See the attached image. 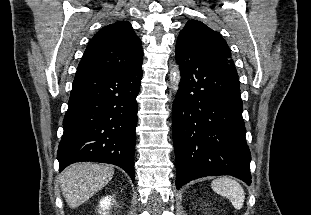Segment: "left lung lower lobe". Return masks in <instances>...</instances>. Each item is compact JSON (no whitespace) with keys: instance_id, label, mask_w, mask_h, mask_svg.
<instances>
[{"instance_id":"left-lung-lower-lobe-1","label":"left lung lower lobe","mask_w":311,"mask_h":215,"mask_svg":"<svg viewBox=\"0 0 311 215\" xmlns=\"http://www.w3.org/2000/svg\"><path fill=\"white\" fill-rule=\"evenodd\" d=\"M175 53L181 72L172 116L177 189L214 175L251 184L238 75L183 40Z\"/></svg>"}]
</instances>
